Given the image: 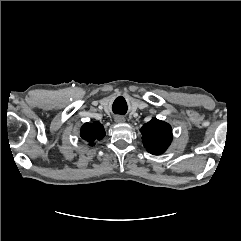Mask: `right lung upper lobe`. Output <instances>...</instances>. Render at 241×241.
<instances>
[{"label":"right lung upper lobe","instance_id":"obj_1","mask_svg":"<svg viewBox=\"0 0 241 241\" xmlns=\"http://www.w3.org/2000/svg\"><path fill=\"white\" fill-rule=\"evenodd\" d=\"M80 136L85 141L89 142L90 146L95 145V140H101L105 136L104 127L98 122L92 124L85 123L81 127Z\"/></svg>","mask_w":241,"mask_h":241}]
</instances>
